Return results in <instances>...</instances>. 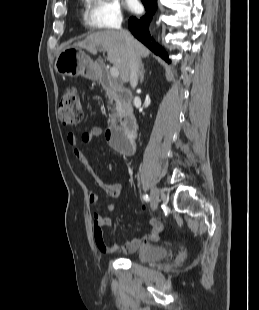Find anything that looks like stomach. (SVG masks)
<instances>
[{
  "label": "stomach",
  "mask_w": 259,
  "mask_h": 310,
  "mask_svg": "<svg viewBox=\"0 0 259 310\" xmlns=\"http://www.w3.org/2000/svg\"><path fill=\"white\" fill-rule=\"evenodd\" d=\"M55 69L61 75L70 77L79 75L87 78L95 77L91 59L79 47L75 46L66 47L58 54Z\"/></svg>",
  "instance_id": "1"
}]
</instances>
